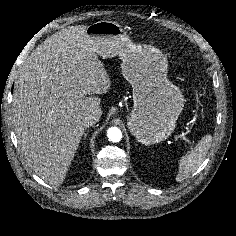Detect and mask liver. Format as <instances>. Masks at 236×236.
Returning <instances> with one entry per match:
<instances>
[{
  "label": "liver",
  "mask_w": 236,
  "mask_h": 236,
  "mask_svg": "<svg viewBox=\"0 0 236 236\" xmlns=\"http://www.w3.org/2000/svg\"><path fill=\"white\" fill-rule=\"evenodd\" d=\"M86 26L62 29L40 44L19 69L13 123L27 163L43 180L62 184L85 132L82 117L102 115L110 78Z\"/></svg>",
  "instance_id": "1"
}]
</instances>
